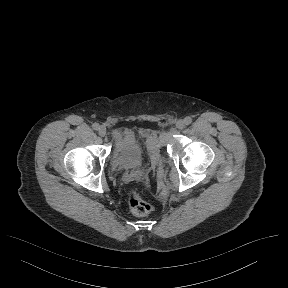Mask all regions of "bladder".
Wrapping results in <instances>:
<instances>
[{"mask_svg": "<svg viewBox=\"0 0 288 288\" xmlns=\"http://www.w3.org/2000/svg\"><path fill=\"white\" fill-rule=\"evenodd\" d=\"M160 145L151 129H122L112 134L111 166L117 170H135L146 160L158 157Z\"/></svg>", "mask_w": 288, "mask_h": 288, "instance_id": "obj_1", "label": "bladder"}]
</instances>
